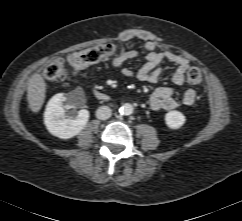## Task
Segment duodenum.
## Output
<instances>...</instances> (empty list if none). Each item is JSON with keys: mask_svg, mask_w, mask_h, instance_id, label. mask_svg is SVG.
Returning <instances> with one entry per match:
<instances>
[{"mask_svg": "<svg viewBox=\"0 0 242 221\" xmlns=\"http://www.w3.org/2000/svg\"><path fill=\"white\" fill-rule=\"evenodd\" d=\"M93 93L96 96V98H98L100 100H108L109 99V96L99 89H94Z\"/></svg>", "mask_w": 242, "mask_h": 221, "instance_id": "obj_1", "label": "duodenum"}]
</instances>
